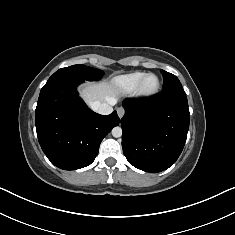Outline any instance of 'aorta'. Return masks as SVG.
Segmentation results:
<instances>
[{"mask_svg":"<svg viewBox=\"0 0 235 235\" xmlns=\"http://www.w3.org/2000/svg\"><path fill=\"white\" fill-rule=\"evenodd\" d=\"M112 135L115 138L121 137L122 136V128L119 126H116L112 129Z\"/></svg>","mask_w":235,"mask_h":235,"instance_id":"obj_1","label":"aorta"}]
</instances>
